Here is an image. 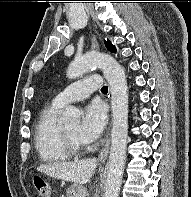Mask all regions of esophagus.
<instances>
[{"mask_svg": "<svg viewBox=\"0 0 191 197\" xmlns=\"http://www.w3.org/2000/svg\"><path fill=\"white\" fill-rule=\"evenodd\" d=\"M109 147H110V133L108 131L107 136H106V141L104 143V146L102 147L100 153H99V160L104 161L108 157V152H109Z\"/></svg>", "mask_w": 191, "mask_h": 197, "instance_id": "obj_1", "label": "esophagus"}]
</instances>
